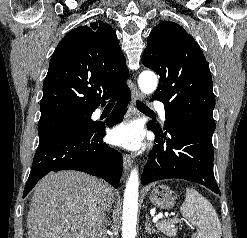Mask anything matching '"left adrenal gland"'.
<instances>
[{
  "label": "left adrenal gland",
  "mask_w": 247,
  "mask_h": 238,
  "mask_svg": "<svg viewBox=\"0 0 247 238\" xmlns=\"http://www.w3.org/2000/svg\"><path fill=\"white\" fill-rule=\"evenodd\" d=\"M145 232L148 233V234H156L157 231L151 227V223H150V220H149V216H146V223H145Z\"/></svg>",
  "instance_id": "obj_1"
}]
</instances>
